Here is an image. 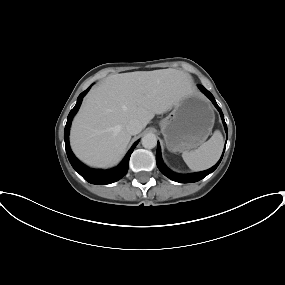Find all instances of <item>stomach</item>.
Listing matches in <instances>:
<instances>
[{"label": "stomach", "instance_id": "stomach-1", "mask_svg": "<svg viewBox=\"0 0 285 285\" xmlns=\"http://www.w3.org/2000/svg\"><path fill=\"white\" fill-rule=\"evenodd\" d=\"M214 119V111L202 95L193 93L182 98L160 121L168 150L183 152L202 145L212 131Z\"/></svg>", "mask_w": 285, "mask_h": 285}]
</instances>
